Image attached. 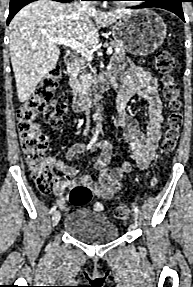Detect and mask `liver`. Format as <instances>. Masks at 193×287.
Here are the masks:
<instances>
[{"label": "liver", "mask_w": 193, "mask_h": 287, "mask_svg": "<svg viewBox=\"0 0 193 287\" xmlns=\"http://www.w3.org/2000/svg\"><path fill=\"white\" fill-rule=\"evenodd\" d=\"M131 12H97L78 2L51 0H38L21 9L9 25L10 56L19 101H27L58 62L60 50L49 38H74L91 48L99 42L101 27H108Z\"/></svg>", "instance_id": "obj_1"}]
</instances>
